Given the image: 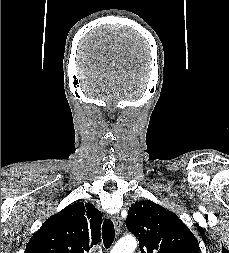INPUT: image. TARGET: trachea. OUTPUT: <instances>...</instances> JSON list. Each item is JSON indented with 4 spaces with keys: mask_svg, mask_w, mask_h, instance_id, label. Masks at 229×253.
Listing matches in <instances>:
<instances>
[{
    "mask_svg": "<svg viewBox=\"0 0 229 253\" xmlns=\"http://www.w3.org/2000/svg\"><path fill=\"white\" fill-rule=\"evenodd\" d=\"M115 230L112 220L105 219L102 226V238L105 248H109L114 240Z\"/></svg>",
    "mask_w": 229,
    "mask_h": 253,
    "instance_id": "obj_1",
    "label": "trachea"
}]
</instances>
